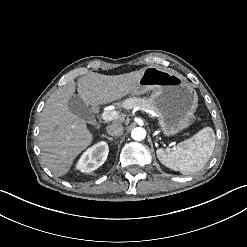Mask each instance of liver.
Instances as JSON below:
<instances>
[{
	"instance_id": "6515ba94",
	"label": "liver",
	"mask_w": 247,
	"mask_h": 247,
	"mask_svg": "<svg viewBox=\"0 0 247 247\" xmlns=\"http://www.w3.org/2000/svg\"><path fill=\"white\" fill-rule=\"evenodd\" d=\"M142 73L143 70H138L107 76L89 72L78 79L77 91L86 103L97 106L129 94ZM74 90L72 80L55 90L40 115L38 140L42 161L57 176L68 171L74 157L91 141L85 120L68 108V100Z\"/></svg>"
}]
</instances>
